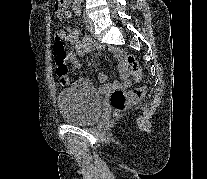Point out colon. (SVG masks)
Masks as SVG:
<instances>
[{"mask_svg":"<svg viewBox=\"0 0 207 179\" xmlns=\"http://www.w3.org/2000/svg\"><path fill=\"white\" fill-rule=\"evenodd\" d=\"M67 2L68 0H55L54 12L57 18H62L66 11ZM54 51L56 73L60 78V83L65 85L67 83L66 76L68 74V61L62 39L58 37H54ZM124 62L130 69L134 79L136 81H140L142 79V74L135 57L130 54H126ZM145 92L146 87L144 86L137 87L130 92L123 89H115L110 95V105L115 114H119L126 110L130 104L139 101L144 96Z\"/></svg>","mask_w":207,"mask_h":179,"instance_id":"obj_1","label":"colon"}]
</instances>
